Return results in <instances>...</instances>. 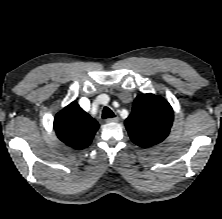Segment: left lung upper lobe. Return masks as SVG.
<instances>
[{"label": "left lung upper lobe", "mask_w": 222, "mask_h": 219, "mask_svg": "<svg viewBox=\"0 0 222 219\" xmlns=\"http://www.w3.org/2000/svg\"><path fill=\"white\" fill-rule=\"evenodd\" d=\"M173 122V110L162 97L142 94L136 97L125 126L131 140L148 148L162 142L169 134Z\"/></svg>", "instance_id": "1"}]
</instances>
